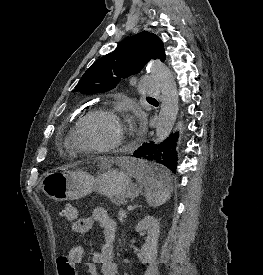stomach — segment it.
<instances>
[{
	"label": "stomach",
	"instance_id": "1",
	"mask_svg": "<svg viewBox=\"0 0 263 275\" xmlns=\"http://www.w3.org/2000/svg\"><path fill=\"white\" fill-rule=\"evenodd\" d=\"M40 188L53 200H77L98 192L116 205L141 192V188L131 182L128 172L113 169L110 165L103 167L96 176L82 170L48 172L43 175Z\"/></svg>",
	"mask_w": 263,
	"mask_h": 275
}]
</instances>
